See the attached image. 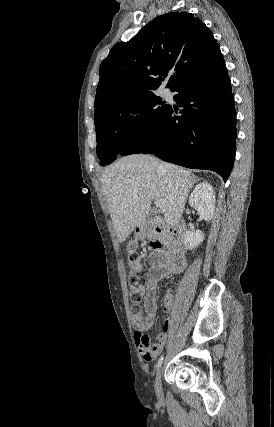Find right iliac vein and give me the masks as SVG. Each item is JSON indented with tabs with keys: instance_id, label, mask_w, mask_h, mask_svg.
<instances>
[{
	"instance_id": "obj_1",
	"label": "right iliac vein",
	"mask_w": 274,
	"mask_h": 427,
	"mask_svg": "<svg viewBox=\"0 0 274 427\" xmlns=\"http://www.w3.org/2000/svg\"><path fill=\"white\" fill-rule=\"evenodd\" d=\"M154 389H155L156 393H159L161 391V389H162V385H161V369L156 374L155 382H154Z\"/></svg>"
}]
</instances>
